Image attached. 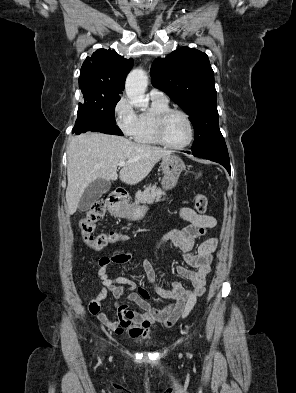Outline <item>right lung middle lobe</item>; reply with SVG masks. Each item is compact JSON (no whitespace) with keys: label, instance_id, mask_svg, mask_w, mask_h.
Masks as SVG:
<instances>
[{"label":"right lung middle lobe","instance_id":"1","mask_svg":"<svg viewBox=\"0 0 296 393\" xmlns=\"http://www.w3.org/2000/svg\"><path fill=\"white\" fill-rule=\"evenodd\" d=\"M120 96L84 97V103L79 104L78 119L92 118L107 124L116 125L115 106Z\"/></svg>","mask_w":296,"mask_h":393}]
</instances>
